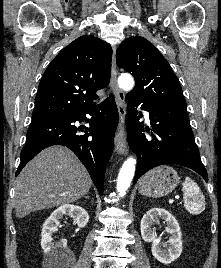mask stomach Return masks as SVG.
<instances>
[{"mask_svg": "<svg viewBox=\"0 0 221 268\" xmlns=\"http://www.w3.org/2000/svg\"><path fill=\"white\" fill-rule=\"evenodd\" d=\"M179 179L174 168L163 165L142 177L139 182V192L148 197H162L175 189Z\"/></svg>", "mask_w": 221, "mask_h": 268, "instance_id": "obj_1", "label": "stomach"}]
</instances>
